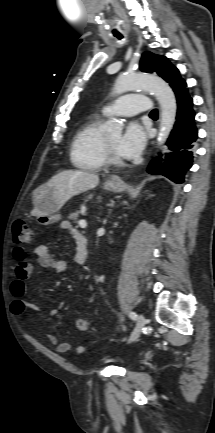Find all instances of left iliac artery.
<instances>
[{
	"label": "left iliac artery",
	"instance_id": "obj_1",
	"mask_svg": "<svg viewBox=\"0 0 215 433\" xmlns=\"http://www.w3.org/2000/svg\"><path fill=\"white\" fill-rule=\"evenodd\" d=\"M129 316H130V318H131L132 320H136V318H137V315H136L135 312H130V313H129Z\"/></svg>",
	"mask_w": 215,
	"mask_h": 433
}]
</instances>
